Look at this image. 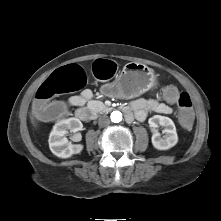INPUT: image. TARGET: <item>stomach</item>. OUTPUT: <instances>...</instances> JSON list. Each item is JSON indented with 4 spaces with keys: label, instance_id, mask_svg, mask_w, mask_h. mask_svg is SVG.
Listing matches in <instances>:
<instances>
[{
    "label": "stomach",
    "instance_id": "stomach-1",
    "mask_svg": "<svg viewBox=\"0 0 221 221\" xmlns=\"http://www.w3.org/2000/svg\"><path fill=\"white\" fill-rule=\"evenodd\" d=\"M157 77L148 66L127 63L118 77L110 84L112 95L119 98H133L156 87Z\"/></svg>",
    "mask_w": 221,
    "mask_h": 221
}]
</instances>
